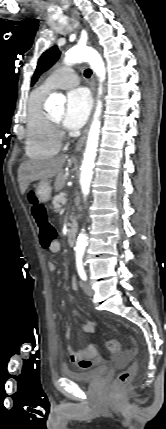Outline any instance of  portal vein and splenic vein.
Returning <instances> with one entry per match:
<instances>
[{
  "mask_svg": "<svg viewBox=\"0 0 166 429\" xmlns=\"http://www.w3.org/2000/svg\"><path fill=\"white\" fill-rule=\"evenodd\" d=\"M62 203H63V204H65V203H66V198H64V199H63Z\"/></svg>",
  "mask_w": 166,
  "mask_h": 429,
  "instance_id": "obj_1",
  "label": "portal vein and splenic vein"
}]
</instances>
